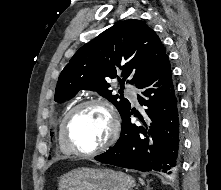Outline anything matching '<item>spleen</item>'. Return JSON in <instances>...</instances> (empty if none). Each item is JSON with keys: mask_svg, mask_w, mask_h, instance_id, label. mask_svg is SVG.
Instances as JSON below:
<instances>
[{"mask_svg": "<svg viewBox=\"0 0 221 190\" xmlns=\"http://www.w3.org/2000/svg\"><path fill=\"white\" fill-rule=\"evenodd\" d=\"M139 181L142 185L144 184V181L142 179H139Z\"/></svg>", "mask_w": 221, "mask_h": 190, "instance_id": "obj_1", "label": "spleen"}]
</instances>
